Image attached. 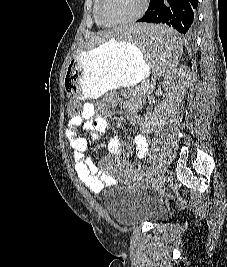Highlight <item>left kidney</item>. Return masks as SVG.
Returning <instances> with one entry per match:
<instances>
[{"instance_id": "1", "label": "left kidney", "mask_w": 227, "mask_h": 267, "mask_svg": "<svg viewBox=\"0 0 227 267\" xmlns=\"http://www.w3.org/2000/svg\"><path fill=\"white\" fill-rule=\"evenodd\" d=\"M192 73L187 66H181L172 72V77H165L163 81V89L166 98L160 109L153 114H146L142 119V125L147 127L148 131H153L159 127L164 121L163 109L168 113H173L184 98L189 87Z\"/></svg>"}]
</instances>
